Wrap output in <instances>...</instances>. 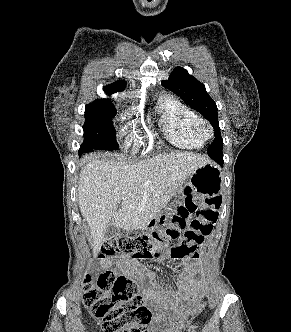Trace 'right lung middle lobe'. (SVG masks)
I'll return each instance as SVG.
<instances>
[{
  "mask_svg": "<svg viewBox=\"0 0 291 332\" xmlns=\"http://www.w3.org/2000/svg\"><path fill=\"white\" fill-rule=\"evenodd\" d=\"M115 106L110 101L96 100L85 107L84 142L79 155L93 149L112 150L118 148L112 118Z\"/></svg>",
  "mask_w": 291,
  "mask_h": 332,
  "instance_id": "obj_1",
  "label": "right lung middle lobe"
}]
</instances>
